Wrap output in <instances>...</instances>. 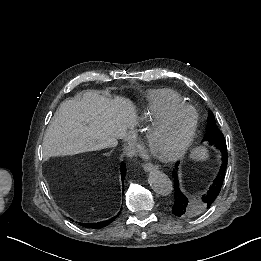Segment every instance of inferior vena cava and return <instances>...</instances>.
Wrapping results in <instances>:
<instances>
[{
    "label": "inferior vena cava",
    "mask_w": 261,
    "mask_h": 261,
    "mask_svg": "<svg viewBox=\"0 0 261 261\" xmlns=\"http://www.w3.org/2000/svg\"><path fill=\"white\" fill-rule=\"evenodd\" d=\"M126 138H127V136H126ZM127 141H131V142H133L134 139H133V137H128V138H127Z\"/></svg>",
    "instance_id": "inferior-vena-cava-1"
}]
</instances>
